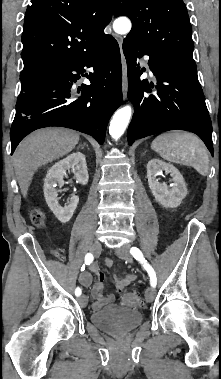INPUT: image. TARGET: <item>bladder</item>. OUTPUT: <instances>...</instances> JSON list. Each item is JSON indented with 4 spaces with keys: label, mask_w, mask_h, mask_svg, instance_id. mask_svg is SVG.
Returning a JSON list of instances; mask_svg holds the SVG:
<instances>
[{
    "label": "bladder",
    "mask_w": 221,
    "mask_h": 379,
    "mask_svg": "<svg viewBox=\"0 0 221 379\" xmlns=\"http://www.w3.org/2000/svg\"><path fill=\"white\" fill-rule=\"evenodd\" d=\"M90 319L102 331L114 336H122L141 323L142 313L135 309L109 306L93 312Z\"/></svg>",
    "instance_id": "1"
}]
</instances>
